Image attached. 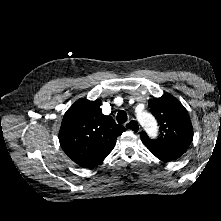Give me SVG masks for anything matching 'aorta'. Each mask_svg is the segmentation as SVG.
<instances>
[{
  "mask_svg": "<svg viewBox=\"0 0 221 221\" xmlns=\"http://www.w3.org/2000/svg\"><path fill=\"white\" fill-rule=\"evenodd\" d=\"M137 119L150 136H156L158 127L157 122L152 114L147 111H138Z\"/></svg>",
  "mask_w": 221,
  "mask_h": 221,
  "instance_id": "obj_1",
  "label": "aorta"
}]
</instances>
